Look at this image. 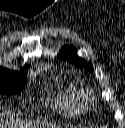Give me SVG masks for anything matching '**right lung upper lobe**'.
Wrapping results in <instances>:
<instances>
[{"label": "right lung upper lobe", "instance_id": "right-lung-upper-lobe-1", "mask_svg": "<svg viewBox=\"0 0 125 128\" xmlns=\"http://www.w3.org/2000/svg\"><path fill=\"white\" fill-rule=\"evenodd\" d=\"M0 71H8V70L5 69V68H1L0 67ZM15 73L26 74L27 73V70H26L25 67H23L19 72H15Z\"/></svg>", "mask_w": 125, "mask_h": 128}]
</instances>
